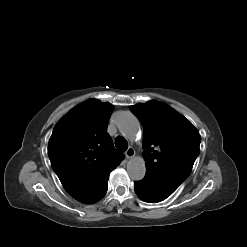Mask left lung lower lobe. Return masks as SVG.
<instances>
[{"mask_svg": "<svg viewBox=\"0 0 247 247\" xmlns=\"http://www.w3.org/2000/svg\"><path fill=\"white\" fill-rule=\"evenodd\" d=\"M134 189L137 196L148 203L161 202L171 195L146 177L141 181H136Z\"/></svg>", "mask_w": 247, "mask_h": 247, "instance_id": "1", "label": "left lung lower lobe"}]
</instances>
